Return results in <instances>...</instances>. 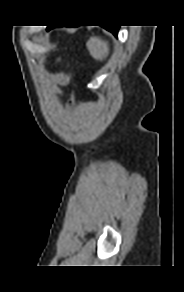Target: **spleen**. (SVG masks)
<instances>
[{"label":"spleen","instance_id":"1","mask_svg":"<svg viewBox=\"0 0 184 292\" xmlns=\"http://www.w3.org/2000/svg\"><path fill=\"white\" fill-rule=\"evenodd\" d=\"M90 54L95 59L102 61L109 54V47L106 41L97 37H91L87 43Z\"/></svg>","mask_w":184,"mask_h":292}]
</instances>
